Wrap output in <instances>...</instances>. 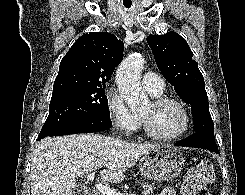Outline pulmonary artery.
I'll return each mask as SVG.
<instances>
[{
  "label": "pulmonary artery",
  "mask_w": 245,
  "mask_h": 195,
  "mask_svg": "<svg viewBox=\"0 0 245 195\" xmlns=\"http://www.w3.org/2000/svg\"><path fill=\"white\" fill-rule=\"evenodd\" d=\"M143 88L152 95H157L164 90V81L153 72H146L142 76Z\"/></svg>",
  "instance_id": "obj_1"
}]
</instances>
